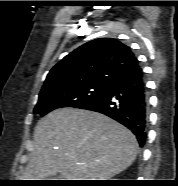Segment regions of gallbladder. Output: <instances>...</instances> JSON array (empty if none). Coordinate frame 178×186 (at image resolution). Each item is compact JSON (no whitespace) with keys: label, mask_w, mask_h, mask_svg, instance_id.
<instances>
[{"label":"gallbladder","mask_w":178,"mask_h":186,"mask_svg":"<svg viewBox=\"0 0 178 186\" xmlns=\"http://www.w3.org/2000/svg\"><path fill=\"white\" fill-rule=\"evenodd\" d=\"M61 176L59 174L53 175L49 178V180H58Z\"/></svg>","instance_id":"gallbladder-1"}]
</instances>
